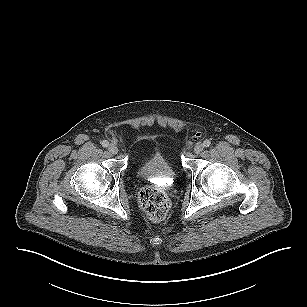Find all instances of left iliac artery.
Here are the masks:
<instances>
[{"mask_svg":"<svg viewBox=\"0 0 307 307\" xmlns=\"http://www.w3.org/2000/svg\"><path fill=\"white\" fill-rule=\"evenodd\" d=\"M203 145H204L205 147H209V146L211 145V141L206 139V140L203 142Z\"/></svg>","mask_w":307,"mask_h":307,"instance_id":"obj_1","label":"left iliac artery"}]
</instances>
